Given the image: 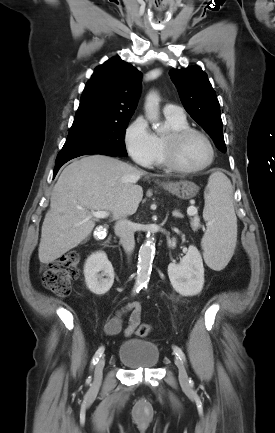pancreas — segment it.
<instances>
[{"instance_id": "obj_1", "label": "pancreas", "mask_w": 275, "mask_h": 433, "mask_svg": "<svg viewBox=\"0 0 275 433\" xmlns=\"http://www.w3.org/2000/svg\"><path fill=\"white\" fill-rule=\"evenodd\" d=\"M191 227L193 230H197V226L194 224V220H191Z\"/></svg>"}]
</instances>
